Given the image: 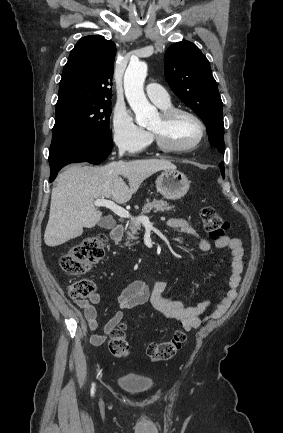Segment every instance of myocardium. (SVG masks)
<instances>
[{
	"instance_id": "obj_1",
	"label": "myocardium",
	"mask_w": 283,
	"mask_h": 433,
	"mask_svg": "<svg viewBox=\"0 0 283 433\" xmlns=\"http://www.w3.org/2000/svg\"><path fill=\"white\" fill-rule=\"evenodd\" d=\"M181 114L189 115L196 121L199 126V135L191 144L180 148L170 141L169 132L173 121ZM150 131L155 138L157 149L160 152L168 155H181L192 152L203 142L207 134V126L196 112L188 108L171 107L161 112L160 129L158 131L150 129Z\"/></svg>"
}]
</instances>
